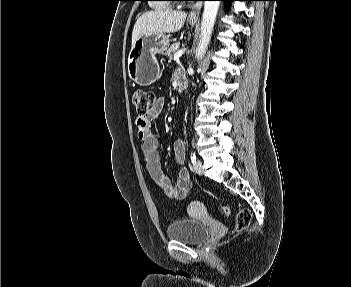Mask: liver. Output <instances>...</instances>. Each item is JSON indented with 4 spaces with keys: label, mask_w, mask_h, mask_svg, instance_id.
I'll list each match as a JSON object with an SVG mask.
<instances>
[{
    "label": "liver",
    "mask_w": 351,
    "mask_h": 287,
    "mask_svg": "<svg viewBox=\"0 0 351 287\" xmlns=\"http://www.w3.org/2000/svg\"><path fill=\"white\" fill-rule=\"evenodd\" d=\"M186 17L187 14L185 12L173 10H156L144 13L134 25L132 46L143 35L179 31L183 27Z\"/></svg>",
    "instance_id": "1"
}]
</instances>
